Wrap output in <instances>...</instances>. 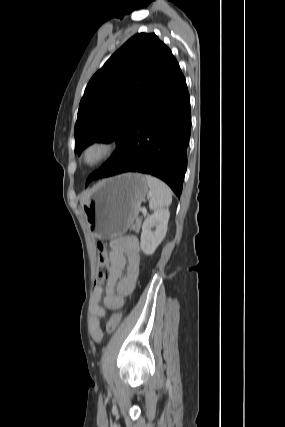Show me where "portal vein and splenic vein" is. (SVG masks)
<instances>
[{"mask_svg": "<svg viewBox=\"0 0 285 427\" xmlns=\"http://www.w3.org/2000/svg\"><path fill=\"white\" fill-rule=\"evenodd\" d=\"M142 213L146 214L147 213L146 209H142Z\"/></svg>", "mask_w": 285, "mask_h": 427, "instance_id": "obj_1", "label": "portal vein and splenic vein"}]
</instances>
